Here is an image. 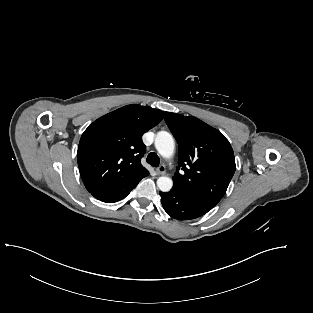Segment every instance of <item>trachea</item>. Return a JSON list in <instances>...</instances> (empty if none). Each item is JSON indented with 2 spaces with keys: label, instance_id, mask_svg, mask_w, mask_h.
Instances as JSON below:
<instances>
[{
  "label": "trachea",
  "instance_id": "3493384b",
  "mask_svg": "<svg viewBox=\"0 0 313 313\" xmlns=\"http://www.w3.org/2000/svg\"><path fill=\"white\" fill-rule=\"evenodd\" d=\"M146 161L153 167H158L160 160L156 153H149Z\"/></svg>",
  "mask_w": 313,
  "mask_h": 313
}]
</instances>
